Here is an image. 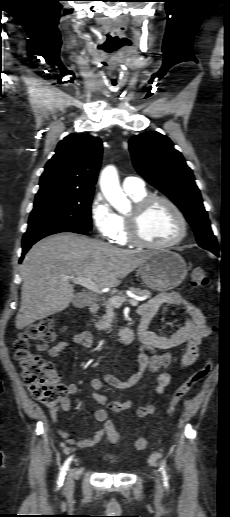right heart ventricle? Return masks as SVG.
Listing matches in <instances>:
<instances>
[{"label": "right heart ventricle", "instance_id": "1", "mask_svg": "<svg viewBox=\"0 0 230 517\" xmlns=\"http://www.w3.org/2000/svg\"><path fill=\"white\" fill-rule=\"evenodd\" d=\"M129 196L135 201L138 202L139 200L143 199L147 196L146 190L140 193H128ZM120 220V229L115 237V241L120 245H128L130 244L129 238H128V224H127V217L124 215L119 216Z\"/></svg>", "mask_w": 230, "mask_h": 517}]
</instances>
